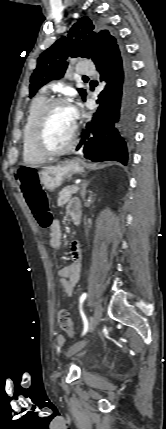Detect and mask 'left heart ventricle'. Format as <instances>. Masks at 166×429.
<instances>
[{
    "label": "left heart ventricle",
    "mask_w": 166,
    "mask_h": 429,
    "mask_svg": "<svg viewBox=\"0 0 166 429\" xmlns=\"http://www.w3.org/2000/svg\"><path fill=\"white\" fill-rule=\"evenodd\" d=\"M73 125L74 117L70 106L56 105L46 117L42 130L43 144L51 150L64 147L69 142Z\"/></svg>",
    "instance_id": "obj_1"
}]
</instances>
